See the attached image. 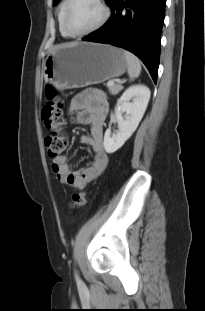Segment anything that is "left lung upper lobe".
<instances>
[{"instance_id": "obj_1", "label": "left lung upper lobe", "mask_w": 205, "mask_h": 311, "mask_svg": "<svg viewBox=\"0 0 205 311\" xmlns=\"http://www.w3.org/2000/svg\"><path fill=\"white\" fill-rule=\"evenodd\" d=\"M106 1H107V3H108L110 6L113 5L114 0H106ZM58 2H59V0H54V4H57Z\"/></svg>"}]
</instances>
